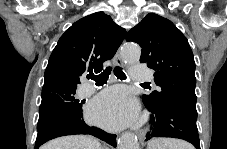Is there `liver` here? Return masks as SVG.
Instances as JSON below:
<instances>
[{"label":"liver","mask_w":227,"mask_h":149,"mask_svg":"<svg viewBox=\"0 0 227 149\" xmlns=\"http://www.w3.org/2000/svg\"><path fill=\"white\" fill-rule=\"evenodd\" d=\"M41 149H102L97 139L91 136L71 135L49 141Z\"/></svg>","instance_id":"1"}]
</instances>
